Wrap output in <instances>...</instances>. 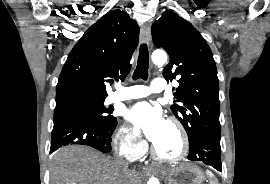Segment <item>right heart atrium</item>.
<instances>
[{
	"mask_svg": "<svg viewBox=\"0 0 270 184\" xmlns=\"http://www.w3.org/2000/svg\"><path fill=\"white\" fill-rule=\"evenodd\" d=\"M115 144L119 152L131 160L141 157L146 151V143L126 125L119 128Z\"/></svg>",
	"mask_w": 270,
	"mask_h": 184,
	"instance_id": "1",
	"label": "right heart atrium"
}]
</instances>
